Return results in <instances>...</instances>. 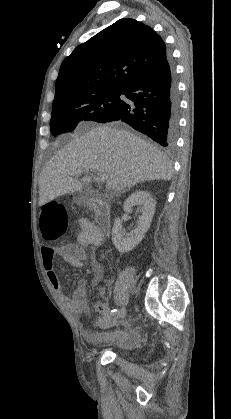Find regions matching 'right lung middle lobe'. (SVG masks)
I'll return each mask as SVG.
<instances>
[{"mask_svg":"<svg viewBox=\"0 0 231 419\" xmlns=\"http://www.w3.org/2000/svg\"><path fill=\"white\" fill-rule=\"evenodd\" d=\"M124 90L103 89L52 104L51 133L56 136L75 129L81 121L103 122L123 103Z\"/></svg>","mask_w":231,"mask_h":419,"instance_id":"1","label":"right lung middle lobe"}]
</instances>
